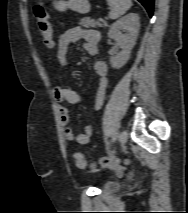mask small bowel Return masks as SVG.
<instances>
[{
  "instance_id": "1",
  "label": "small bowel",
  "mask_w": 188,
  "mask_h": 213,
  "mask_svg": "<svg viewBox=\"0 0 188 213\" xmlns=\"http://www.w3.org/2000/svg\"><path fill=\"white\" fill-rule=\"evenodd\" d=\"M83 41L84 48L87 53L93 58L92 68L98 78V89L95 97L94 108L100 110L104 104L106 89L108 85L107 64L97 58L98 45L100 41V34L93 29L82 27H74L67 30L61 35L57 46V58L62 67L67 65V53L71 45L78 41ZM54 98L58 102V112L63 128V135L68 142H77L79 144H87L93 134V127L87 125L80 134L74 133L71 127L70 114L65 106L68 104H79L82 101V96L71 88L58 86L54 90Z\"/></svg>"
}]
</instances>
